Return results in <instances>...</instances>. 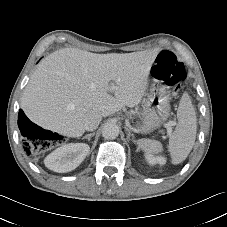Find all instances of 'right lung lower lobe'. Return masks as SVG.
I'll return each mask as SVG.
<instances>
[{
    "label": "right lung lower lobe",
    "instance_id": "right-lung-lower-lobe-1",
    "mask_svg": "<svg viewBox=\"0 0 227 227\" xmlns=\"http://www.w3.org/2000/svg\"><path fill=\"white\" fill-rule=\"evenodd\" d=\"M29 124L33 123L25 116L24 112L20 110L18 114V125L21 130V133L24 132L25 127Z\"/></svg>",
    "mask_w": 227,
    "mask_h": 227
}]
</instances>
